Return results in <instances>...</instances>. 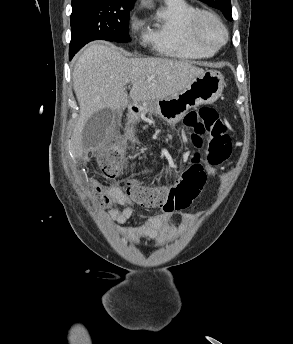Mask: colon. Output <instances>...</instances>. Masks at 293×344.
<instances>
[{"mask_svg":"<svg viewBox=\"0 0 293 344\" xmlns=\"http://www.w3.org/2000/svg\"><path fill=\"white\" fill-rule=\"evenodd\" d=\"M184 125L190 130V140L196 149L203 145V138L207 136L206 162L209 166H220L230 158L231 138L228 126L218 110L212 107H202L199 110L191 111L185 116ZM92 159L102 174L108 178L121 175L127 166L126 155L119 147L100 151ZM198 159L199 154L196 152L193 158L194 163H197ZM203 185L195 179L194 169H189L176 184L169 186H150L132 177L125 178L122 182L125 193L138 204L166 211L189 207L200 193ZM111 205V198L106 191L96 187L94 189V206L104 210Z\"/></svg>","mask_w":293,"mask_h":344,"instance_id":"colon-1","label":"colon"}]
</instances>
